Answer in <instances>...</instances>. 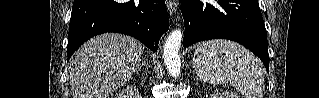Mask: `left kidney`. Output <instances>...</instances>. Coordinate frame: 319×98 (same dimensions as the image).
<instances>
[{
	"mask_svg": "<svg viewBox=\"0 0 319 98\" xmlns=\"http://www.w3.org/2000/svg\"><path fill=\"white\" fill-rule=\"evenodd\" d=\"M211 98H239V96L231 91H225L223 93H219L218 91L212 94Z\"/></svg>",
	"mask_w": 319,
	"mask_h": 98,
	"instance_id": "obj_1",
	"label": "left kidney"
}]
</instances>
